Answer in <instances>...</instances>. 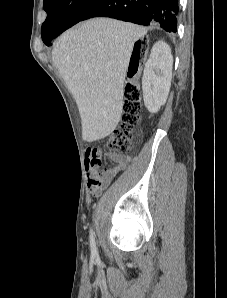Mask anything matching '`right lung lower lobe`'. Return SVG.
Here are the masks:
<instances>
[{
  "label": "right lung lower lobe",
  "instance_id": "1",
  "mask_svg": "<svg viewBox=\"0 0 227 298\" xmlns=\"http://www.w3.org/2000/svg\"><path fill=\"white\" fill-rule=\"evenodd\" d=\"M178 0H100L81 19L110 17L140 25L157 24L168 32H176ZM59 30L51 40L61 34ZM51 40L47 46L51 45Z\"/></svg>",
  "mask_w": 227,
  "mask_h": 298
}]
</instances>
